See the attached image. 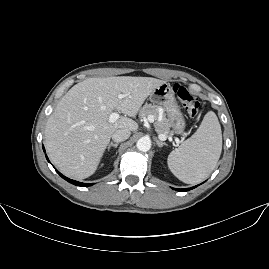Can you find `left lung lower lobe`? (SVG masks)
Listing matches in <instances>:
<instances>
[{"label": "left lung lower lobe", "mask_w": 269, "mask_h": 269, "mask_svg": "<svg viewBox=\"0 0 269 269\" xmlns=\"http://www.w3.org/2000/svg\"><path fill=\"white\" fill-rule=\"evenodd\" d=\"M196 187V186H195ZM192 188H194V187H192ZM192 188H190V189H192ZM189 188L188 189H176L177 191H181V192H184V191H187V190H190Z\"/></svg>", "instance_id": "left-lung-lower-lobe-1"}]
</instances>
